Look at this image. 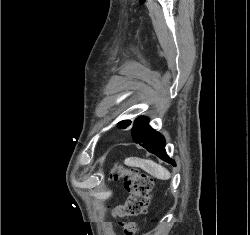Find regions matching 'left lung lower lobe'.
Masks as SVG:
<instances>
[{"label": "left lung lower lobe", "instance_id": "obj_1", "mask_svg": "<svg viewBox=\"0 0 250 235\" xmlns=\"http://www.w3.org/2000/svg\"><path fill=\"white\" fill-rule=\"evenodd\" d=\"M149 119L141 116L137 118L133 126V136L137 143H142L141 146L149 152L156 154L162 160L175 166V162L168 157L165 151L164 137L151 128L148 124ZM131 122L129 123V125Z\"/></svg>", "mask_w": 250, "mask_h": 235}]
</instances>
